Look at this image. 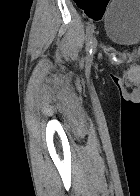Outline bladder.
<instances>
[{
  "label": "bladder",
  "instance_id": "bladder-1",
  "mask_svg": "<svg viewBox=\"0 0 140 196\" xmlns=\"http://www.w3.org/2000/svg\"><path fill=\"white\" fill-rule=\"evenodd\" d=\"M107 38L113 44L134 49L140 46V0H114L105 15Z\"/></svg>",
  "mask_w": 140,
  "mask_h": 196
}]
</instances>
